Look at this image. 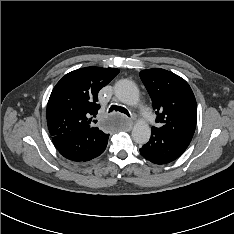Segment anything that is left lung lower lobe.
I'll return each mask as SVG.
<instances>
[{
    "instance_id": "1",
    "label": "left lung lower lobe",
    "mask_w": 234,
    "mask_h": 234,
    "mask_svg": "<svg viewBox=\"0 0 234 234\" xmlns=\"http://www.w3.org/2000/svg\"><path fill=\"white\" fill-rule=\"evenodd\" d=\"M184 151L168 137L152 131L149 142L140 149V154L152 163L166 164L177 159Z\"/></svg>"
}]
</instances>
